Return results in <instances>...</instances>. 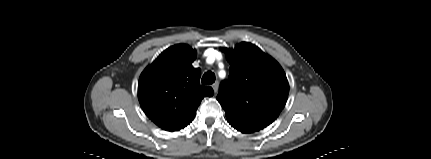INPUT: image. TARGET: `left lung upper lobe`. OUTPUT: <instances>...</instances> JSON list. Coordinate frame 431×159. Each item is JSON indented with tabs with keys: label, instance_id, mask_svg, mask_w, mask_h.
I'll list each match as a JSON object with an SVG mask.
<instances>
[{
	"label": "left lung upper lobe",
	"instance_id": "obj_1",
	"mask_svg": "<svg viewBox=\"0 0 431 159\" xmlns=\"http://www.w3.org/2000/svg\"><path fill=\"white\" fill-rule=\"evenodd\" d=\"M230 63L228 79L221 83L217 100L229 124L243 133L271 124L284 108L289 84L281 66L254 44L222 48Z\"/></svg>",
	"mask_w": 431,
	"mask_h": 159
}]
</instances>
